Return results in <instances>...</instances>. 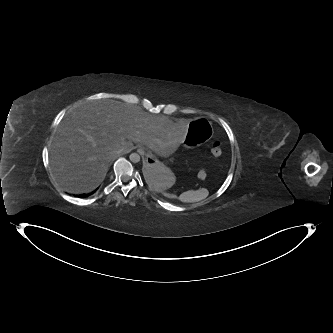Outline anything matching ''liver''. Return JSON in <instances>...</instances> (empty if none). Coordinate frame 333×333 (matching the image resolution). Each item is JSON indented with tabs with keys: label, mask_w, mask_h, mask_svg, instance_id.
Segmentation results:
<instances>
[{
	"label": "liver",
	"mask_w": 333,
	"mask_h": 333,
	"mask_svg": "<svg viewBox=\"0 0 333 333\" xmlns=\"http://www.w3.org/2000/svg\"><path fill=\"white\" fill-rule=\"evenodd\" d=\"M187 133L182 119L115 100L88 101L60 123L49 146L51 172L67 192L89 193L103 181L111 161L128 153L133 143L168 157Z\"/></svg>",
	"instance_id": "obj_1"
}]
</instances>
